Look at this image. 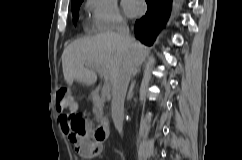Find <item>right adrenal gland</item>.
<instances>
[{"instance_id": "1", "label": "right adrenal gland", "mask_w": 242, "mask_h": 160, "mask_svg": "<svg viewBox=\"0 0 242 160\" xmlns=\"http://www.w3.org/2000/svg\"><path fill=\"white\" fill-rule=\"evenodd\" d=\"M135 81H133L132 83H131V85H130V88H129V91H128V95H127V100H130L132 97H133V95H134V92H133V90H134V87H135Z\"/></svg>"}]
</instances>
